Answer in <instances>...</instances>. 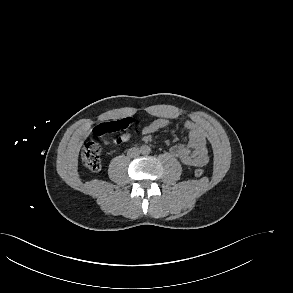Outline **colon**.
<instances>
[{"mask_svg": "<svg viewBox=\"0 0 293 293\" xmlns=\"http://www.w3.org/2000/svg\"><path fill=\"white\" fill-rule=\"evenodd\" d=\"M132 121L130 119H122L114 122H105L99 124L95 129L94 133L97 136H104L108 134H114L121 132L114 140L115 143H123L130 139L133 133H137L138 130L134 129L131 131ZM82 162L84 166L92 171L96 172L101 167L100 158V146L94 141L87 142L82 149ZM204 174L202 168H197L194 170V175L200 177Z\"/></svg>", "mask_w": 293, "mask_h": 293, "instance_id": "obj_1", "label": "colon"}]
</instances>
